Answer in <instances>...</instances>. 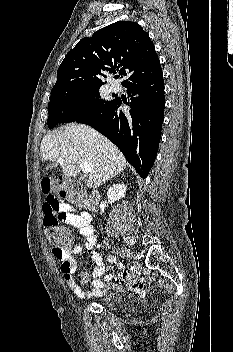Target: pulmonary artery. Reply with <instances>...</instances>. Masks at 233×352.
I'll return each mask as SVG.
<instances>
[{
    "label": "pulmonary artery",
    "instance_id": "1",
    "mask_svg": "<svg viewBox=\"0 0 233 352\" xmlns=\"http://www.w3.org/2000/svg\"><path fill=\"white\" fill-rule=\"evenodd\" d=\"M111 89L113 90V91H119L120 90V85L119 84H117V83H112L111 84Z\"/></svg>",
    "mask_w": 233,
    "mask_h": 352
}]
</instances>
